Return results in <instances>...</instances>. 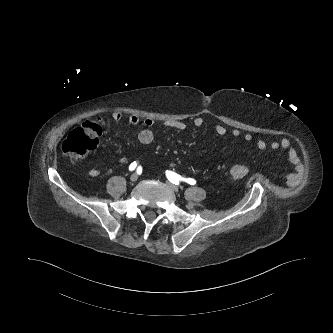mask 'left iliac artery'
<instances>
[{
  "label": "left iliac artery",
  "mask_w": 333,
  "mask_h": 333,
  "mask_svg": "<svg viewBox=\"0 0 333 333\" xmlns=\"http://www.w3.org/2000/svg\"><path fill=\"white\" fill-rule=\"evenodd\" d=\"M166 176H167L168 180L171 183L175 184V185H179V181H181V180L187 182L190 185H195L196 184L195 179H193V178H183L180 175H178L177 173L172 172V171H166Z\"/></svg>",
  "instance_id": "44dca946"
}]
</instances>
